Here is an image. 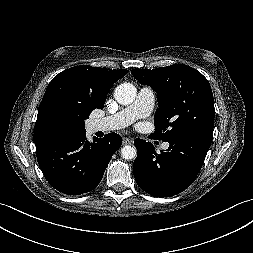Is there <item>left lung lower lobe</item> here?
I'll return each mask as SVG.
<instances>
[{
	"mask_svg": "<svg viewBox=\"0 0 253 253\" xmlns=\"http://www.w3.org/2000/svg\"><path fill=\"white\" fill-rule=\"evenodd\" d=\"M211 142L204 137H190L169 142L166 151L156 153L152 143L135 139L136 183L155 197H169L184 191L199 173Z\"/></svg>",
	"mask_w": 253,
	"mask_h": 253,
	"instance_id": "1",
	"label": "left lung lower lobe"
}]
</instances>
